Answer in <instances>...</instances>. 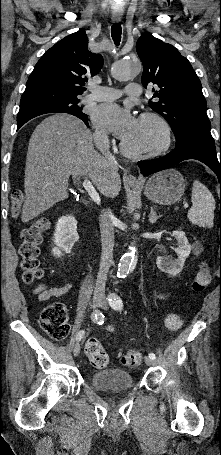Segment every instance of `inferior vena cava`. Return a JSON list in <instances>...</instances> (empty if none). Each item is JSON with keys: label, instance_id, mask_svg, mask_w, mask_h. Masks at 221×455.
I'll return each mask as SVG.
<instances>
[{"label": "inferior vena cava", "instance_id": "obj_1", "mask_svg": "<svg viewBox=\"0 0 221 455\" xmlns=\"http://www.w3.org/2000/svg\"><path fill=\"white\" fill-rule=\"evenodd\" d=\"M102 145V153L110 164L117 165L115 157L110 153L108 140L105 136L99 138ZM100 232L102 241V254L100 268L96 281V288H104L108 270L113 263V247H114V227L112 224V213L110 209L103 210L100 215Z\"/></svg>", "mask_w": 221, "mask_h": 455}]
</instances>
